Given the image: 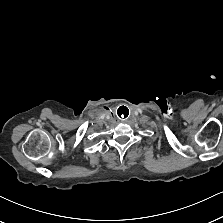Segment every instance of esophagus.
<instances>
[{
	"label": "esophagus",
	"mask_w": 223,
	"mask_h": 223,
	"mask_svg": "<svg viewBox=\"0 0 223 223\" xmlns=\"http://www.w3.org/2000/svg\"><path fill=\"white\" fill-rule=\"evenodd\" d=\"M119 109H120V111H121V109H122V110L124 109V110H125V112H124V113H125V114H127V111H128V110H127V108H126V107H120ZM121 114H122V113H121ZM121 114H120V115H121ZM125 114H124V115H125Z\"/></svg>",
	"instance_id": "esophagus-1"
}]
</instances>
